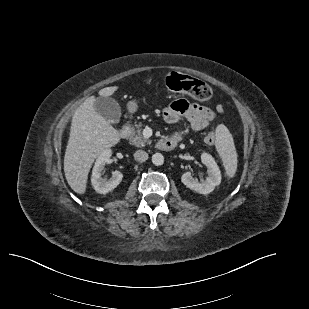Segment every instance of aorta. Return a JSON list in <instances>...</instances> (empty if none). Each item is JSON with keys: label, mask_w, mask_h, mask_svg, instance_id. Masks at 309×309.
I'll use <instances>...</instances> for the list:
<instances>
[{"label": "aorta", "mask_w": 309, "mask_h": 309, "mask_svg": "<svg viewBox=\"0 0 309 309\" xmlns=\"http://www.w3.org/2000/svg\"><path fill=\"white\" fill-rule=\"evenodd\" d=\"M152 163L156 166H161L164 163V156L161 153L153 154Z\"/></svg>", "instance_id": "762f6f07"}]
</instances>
